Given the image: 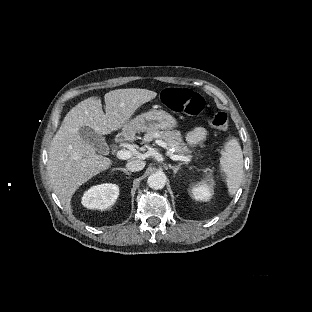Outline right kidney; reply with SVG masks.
<instances>
[{
	"label": "right kidney",
	"instance_id": "ca27d5eb",
	"mask_svg": "<svg viewBox=\"0 0 312 312\" xmlns=\"http://www.w3.org/2000/svg\"><path fill=\"white\" fill-rule=\"evenodd\" d=\"M118 196V185L105 183L92 186L85 191L81 203L88 209L105 210L116 202Z\"/></svg>",
	"mask_w": 312,
	"mask_h": 312
}]
</instances>
